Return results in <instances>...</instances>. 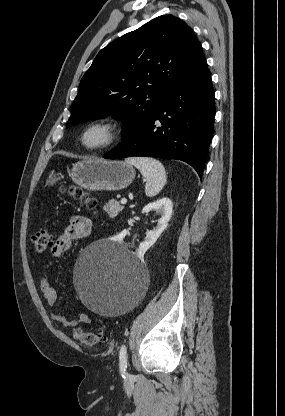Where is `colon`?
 <instances>
[{
  "label": "colon",
  "instance_id": "1",
  "mask_svg": "<svg viewBox=\"0 0 285 416\" xmlns=\"http://www.w3.org/2000/svg\"><path fill=\"white\" fill-rule=\"evenodd\" d=\"M67 193L75 200L88 208H95L96 202L85 191L76 186L66 189ZM33 251L43 253L53 245V236L47 230H39L31 238ZM74 336L84 345L90 347L100 346L104 342V330L101 328L95 332H87L80 328L75 329Z\"/></svg>",
  "mask_w": 285,
  "mask_h": 416
}]
</instances>
